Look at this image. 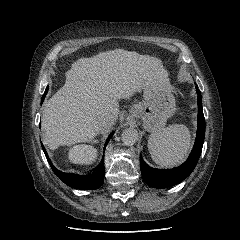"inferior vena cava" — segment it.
<instances>
[{
  "instance_id": "1",
  "label": "inferior vena cava",
  "mask_w": 240,
  "mask_h": 240,
  "mask_svg": "<svg viewBox=\"0 0 240 240\" xmlns=\"http://www.w3.org/2000/svg\"><path fill=\"white\" fill-rule=\"evenodd\" d=\"M110 122V119L107 115H104L98 122V130L103 131Z\"/></svg>"
}]
</instances>
